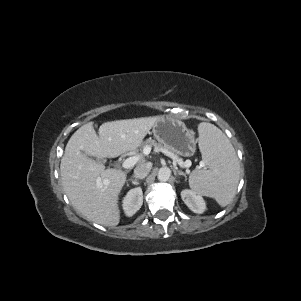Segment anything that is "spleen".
<instances>
[{
    "label": "spleen",
    "instance_id": "1",
    "mask_svg": "<svg viewBox=\"0 0 301 301\" xmlns=\"http://www.w3.org/2000/svg\"><path fill=\"white\" fill-rule=\"evenodd\" d=\"M199 147L208 169L194 170L189 177L190 188L203 196L214 198L220 206L234 198L239 182V161L223 132L210 123H201Z\"/></svg>",
    "mask_w": 301,
    "mask_h": 301
}]
</instances>
